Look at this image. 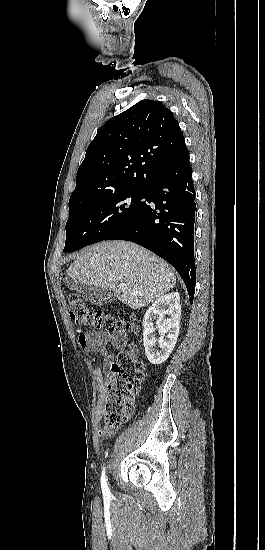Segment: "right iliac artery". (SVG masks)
<instances>
[{
  "label": "right iliac artery",
  "instance_id": "82829eb1",
  "mask_svg": "<svg viewBox=\"0 0 265 550\" xmlns=\"http://www.w3.org/2000/svg\"><path fill=\"white\" fill-rule=\"evenodd\" d=\"M101 488H102V492H103L104 495L110 494V491H109L108 486H107V483H106L105 468H104L103 471H102V476H101Z\"/></svg>",
  "mask_w": 265,
  "mask_h": 550
}]
</instances>
